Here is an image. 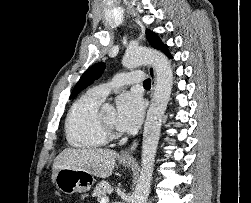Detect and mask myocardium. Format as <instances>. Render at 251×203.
Returning <instances> with one entry per match:
<instances>
[{
    "instance_id": "obj_1",
    "label": "myocardium",
    "mask_w": 251,
    "mask_h": 203,
    "mask_svg": "<svg viewBox=\"0 0 251 203\" xmlns=\"http://www.w3.org/2000/svg\"><path fill=\"white\" fill-rule=\"evenodd\" d=\"M99 124L107 139L114 140L121 137V133L115 127L106 123L100 115Z\"/></svg>"
}]
</instances>
